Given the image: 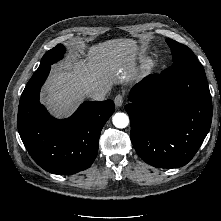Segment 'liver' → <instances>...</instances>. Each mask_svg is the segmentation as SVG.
<instances>
[{
	"mask_svg": "<svg viewBox=\"0 0 221 221\" xmlns=\"http://www.w3.org/2000/svg\"><path fill=\"white\" fill-rule=\"evenodd\" d=\"M134 41L116 39L90 47L88 57L72 58L53 67L43 101L57 116L68 114L89 92L126 79L134 68Z\"/></svg>",
	"mask_w": 221,
	"mask_h": 221,
	"instance_id": "obj_1",
	"label": "liver"
}]
</instances>
